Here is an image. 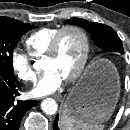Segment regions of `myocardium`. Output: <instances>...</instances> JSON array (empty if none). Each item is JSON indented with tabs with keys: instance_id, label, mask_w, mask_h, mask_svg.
I'll return each mask as SVG.
<instances>
[{
	"instance_id": "obj_1",
	"label": "myocardium",
	"mask_w": 130,
	"mask_h": 130,
	"mask_svg": "<svg viewBox=\"0 0 130 130\" xmlns=\"http://www.w3.org/2000/svg\"><path fill=\"white\" fill-rule=\"evenodd\" d=\"M68 31L76 32L77 34H79V36L82 38L83 41V53H82L80 63L76 68V70L65 79L67 82H74L83 74L90 55V48H91L90 38L88 33L82 27L78 25H67L62 27L53 37L49 45V48L47 50V53L45 54V58L46 59L53 58L56 56L59 49L61 38Z\"/></svg>"
}]
</instances>
